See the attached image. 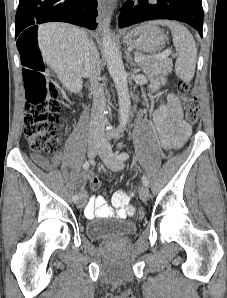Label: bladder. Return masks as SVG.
<instances>
[{"instance_id": "bladder-1", "label": "bladder", "mask_w": 227, "mask_h": 298, "mask_svg": "<svg viewBox=\"0 0 227 298\" xmlns=\"http://www.w3.org/2000/svg\"><path fill=\"white\" fill-rule=\"evenodd\" d=\"M136 231L135 222L125 219H94L85 225V234L93 241L124 239L134 235Z\"/></svg>"}]
</instances>
